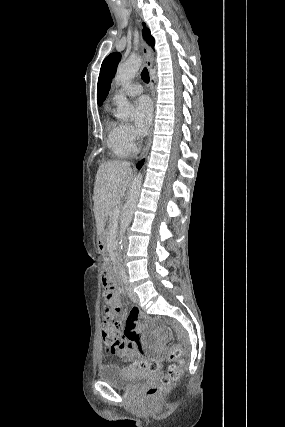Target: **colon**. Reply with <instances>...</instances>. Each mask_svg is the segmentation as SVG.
I'll list each match as a JSON object with an SVG mask.
<instances>
[{"label":"colon","instance_id":"obj_1","mask_svg":"<svg viewBox=\"0 0 285 427\" xmlns=\"http://www.w3.org/2000/svg\"><path fill=\"white\" fill-rule=\"evenodd\" d=\"M101 274L102 283L105 288V308L109 310V312H113L115 309V304L113 302L114 284L111 280L110 268L108 266H103ZM172 326L175 330L181 333V328L177 323L173 322ZM102 338L106 346V353H113L121 348L119 329L112 322L103 324ZM182 352V346L180 344H175L171 347L168 358L172 363L168 367L167 372L160 376V380L157 384L146 388L145 398L147 402L153 403L159 401L161 396L169 390L172 382L179 378L181 374V361L179 359L182 356ZM136 363L141 369L149 370L151 372H159L161 370L160 362L154 358H143L138 360Z\"/></svg>","mask_w":285,"mask_h":427}]
</instances>
